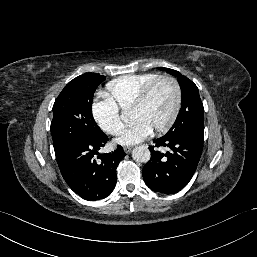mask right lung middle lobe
I'll use <instances>...</instances> for the list:
<instances>
[{
    "mask_svg": "<svg viewBox=\"0 0 257 257\" xmlns=\"http://www.w3.org/2000/svg\"><path fill=\"white\" fill-rule=\"evenodd\" d=\"M105 77L85 73L70 81L53 105L51 134L55 152L70 143H87L104 136L92 115V99Z\"/></svg>",
    "mask_w": 257,
    "mask_h": 257,
    "instance_id": "obj_1",
    "label": "right lung middle lobe"
}]
</instances>
